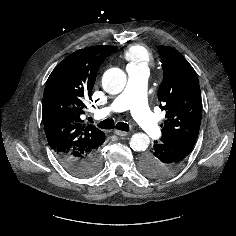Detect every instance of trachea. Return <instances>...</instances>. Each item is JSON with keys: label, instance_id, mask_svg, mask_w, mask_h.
Listing matches in <instances>:
<instances>
[{"label": "trachea", "instance_id": "1", "mask_svg": "<svg viewBox=\"0 0 236 236\" xmlns=\"http://www.w3.org/2000/svg\"><path fill=\"white\" fill-rule=\"evenodd\" d=\"M98 127L102 128V129H114V128H116V129L121 130V131H129V129H130L129 125L124 123V122H118L115 125V122H114L113 119H105V120L101 121L98 124Z\"/></svg>", "mask_w": 236, "mask_h": 236}]
</instances>
